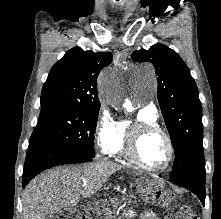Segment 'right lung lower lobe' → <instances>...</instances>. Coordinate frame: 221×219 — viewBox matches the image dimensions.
I'll return each instance as SVG.
<instances>
[{
	"mask_svg": "<svg viewBox=\"0 0 221 219\" xmlns=\"http://www.w3.org/2000/svg\"><path fill=\"white\" fill-rule=\"evenodd\" d=\"M93 158L76 155L56 147L37 143L28 148L22 175L23 188L38 173L62 164L90 162Z\"/></svg>",
	"mask_w": 221,
	"mask_h": 219,
	"instance_id": "1",
	"label": "right lung lower lobe"
}]
</instances>
